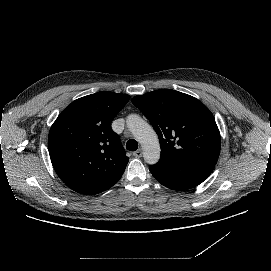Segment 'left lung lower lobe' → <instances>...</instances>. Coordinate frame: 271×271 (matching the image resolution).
I'll return each mask as SVG.
<instances>
[{
    "mask_svg": "<svg viewBox=\"0 0 271 271\" xmlns=\"http://www.w3.org/2000/svg\"><path fill=\"white\" fill-rule=\"evenodd\" d=\"M214 167L207 162L161 155L159 162L151 165L149 170L165 187L184 191L202 183Z\"/></svg>",
    "mask_w": 271,
    "mask_h": 271,
    "instance_id": "left-lung-lower-lobe-1",
    "label": "left lung lower lobe"
}]
</instances>
